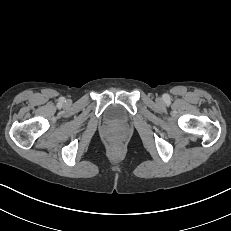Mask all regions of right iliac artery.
Returning <instances> with one entry per match:
<instances>
[{
    "label": "right iliac artery",
    "instance_id": "1",
    "mask_svg": "<svg viewBox=\"0 0 231 231\" xmlns=\"http://www.w3.org/2000/svg\"><path fill=\"white\" fill-rule=\"evenodd\" d=\"M64 101V98H61V102H63Z\"/></svg>",
    "mask_w": 231,
    "mask_h": 231
}]
</instances>
